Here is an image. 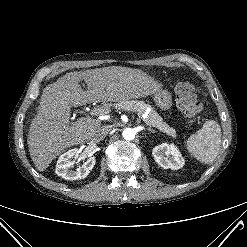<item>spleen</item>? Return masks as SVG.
I'll return each mask as SVG.
<instances>
[{
    "label": "spleen",
    "instance_id": "spleen-1",
    "mask_svg": "<svg viewBox=\"0 0 247 247\" xmlns=\"http://www.w3.org/2000/svg\"><path fill=\"white\" fill-rule=\"evenodd\" d=\"M221 128L214 120H208L203 127L187 140V149L195 158L205 164L212 163L219 151Z\"/></svg>",
    "mask_w": 247,
    "mask_h": 247
}]
</instances>
